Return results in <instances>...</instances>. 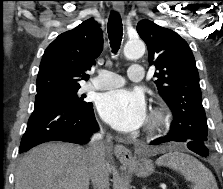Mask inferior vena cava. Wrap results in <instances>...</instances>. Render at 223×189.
<instances>
[{
	"instance_id": "obj_1",
	"label": "inferior vena cava",
	"mask_w": 223,
	"mask_h": 189,
	"mask_svg": "<svg viewBox=\"0 0 223 189\" xmlns=\"http://www.w3.org/2000/svg\"><path fill=\"white\" fill-rule=\"evenodd\" d=\"M87 152L92 163L90 179L94 189H109V171L105 160L106 149L100 133L92 136Z\"/></svg>"
}]
</instances>
